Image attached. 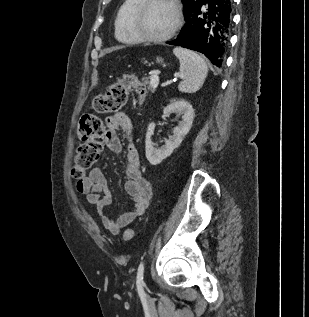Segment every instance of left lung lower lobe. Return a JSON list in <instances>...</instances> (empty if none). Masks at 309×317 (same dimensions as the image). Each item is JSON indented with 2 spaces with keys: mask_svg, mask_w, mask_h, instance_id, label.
<instances>
[{
  "mask_svg": "<svg viewBox=\"0 0 309 317\" xmlns=\"http://www.w3.org/2000/svg\"><path fill=\"white\" fill-rule=\"evenodd\" d=\"M232 16V0H203L185 13L186 24L180 35L167 43L201 52L220 68L228 48Z\"/></svg>",
  "mask_w": 309,
  "mask_h": 317,
  "instance_id": "obj_1",
  "label": "left lung lower lobe"
}]
</instances>
